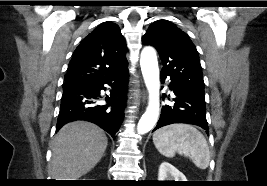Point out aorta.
<instances>
[{"label": "aorta", "mask_w": 267, "mask_h": 186, "mask_svg": "<svg viewBox=\"0 0 267 186\" xmlns=\"http://www.w3.org/2000/svg\"><path fill=\"white\" fill-rule=\"evenodd\" d=\"M140 66L149 92V103L145 113L138 122V133L149 132L155 126L159 116V68L156 52L151 47H145L141 52Z\"/></svg>", "instance_id": "obj_1"}]
</instances>
